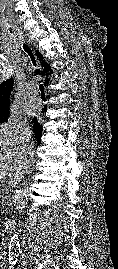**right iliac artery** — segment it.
Returning a JSON list of instances; mask_svg holds the SVG:
<instances>
[{
  "instance_id": "82829eb1",
  "label": "right iliac artery",
  "mask_w": 118,
  "mask_h": 269,
  "mask_svg": "<svg viewBox=\"0 0 118 269\" xmlns=\"http://www.w3.org/2000/svg\"><path fill=\"white\" fill-rule=\"evenodd\" d=\"M17 256H15V255H11V256H9V262L12 264V265H14V264H16V262H17Z\"/></svg>"
}]
</instances>
